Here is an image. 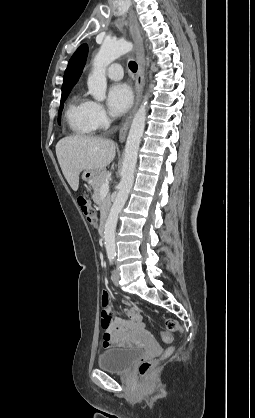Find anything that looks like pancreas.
I'll list each match as a JSON object with an SVG mask.
<instances>
[{"mask_svg":"<svg viewBox=\"0 0 255 418\" xmlns=\"http://www.w3.org/2000/svg\"><path fill=\"white\" fill-rule=\"evenodd\" d=\"M107 181H108V172L103 171L99 175L97 182L93 185V189H94L93 201L97 205L101 206V219H103L106 216L111 206L110 195H107L103 200H101V194H100L101 186Z\"/></svg>","mask_w":255,"mask_h":418,"instance_id":"1","label":"pancreas"}]
</instances>
